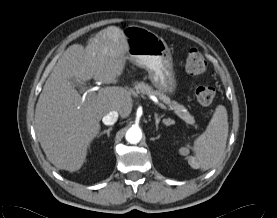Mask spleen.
Here are the masks:
<instances>
[{"label": "spleen", "instance_id": "spleen-1", "mask_svg": "<svg viewBox=\"0 0 277 218\" xmlns=\"http://www.w3.org/2000/svg\"><path fill=\"white\" fill-rule=\"evenodd\" d=\"M228 115L223 105L216 107L206 130L194 141L195 156L190 158L193 168L208 170L221 159L228 136ZM180 153L187 155L189 150L181 148Z\"/></svg>", "mask_w": 277, "mask_h": 218}]
</instances>
